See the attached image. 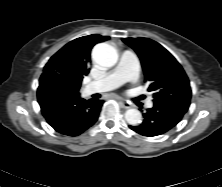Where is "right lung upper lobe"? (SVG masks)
<instances>
[{"label":"right lung upper lobe","instance_id":"right-lung-upper-lobe-1","mask_svg":"<svg viewBox=\"0 0 222 187\" xmlns=\"http://www.w3.org/2000/svg\"><path fill=\"white\" fill-rule=\"evenodd\" d=\"M109 37L97 34L77 38L54 54L45 65L43 74L61 75L81 85V81L90 71V52L92 47Z\"/></svg>","mask_w":222,"mask_h":187}]
</instances>
